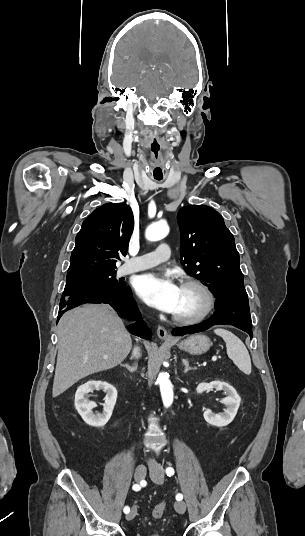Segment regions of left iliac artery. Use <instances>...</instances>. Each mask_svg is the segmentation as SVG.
Masks as SVG:
<instances>
[{
    "instance_id": "obj_1",
    "label": "left iliac artery",
    "mask_w": 305,
    "mask_h": 536,
    "mask_svg": "<svg viewBox=\"0 0 305 536\" xmlns=\"http://www.w3.org/2000/svg\"><path fill=\"white\" fill-rule=\"evenodd\" d=\"M166 474H167V476H171V475H173V474H174V469L171 468V467L166 468ZM176 499H177L178 501L182 500V499H183V495H182V494H177V495H176Z\"/></svg>"
}]
</instances>
